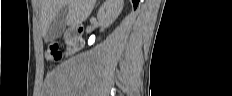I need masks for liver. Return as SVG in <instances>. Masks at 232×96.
<instances>
[{
    "label": "liver",
    "mask_w": 232,
    "mask_h": 96,
    "mask_svg": "<svg viewBox=\"0 0 232 96\" xmlns=\"http://www.w3.org/2000/svg\"><path fill=\"white\" fill-rule=\"evenodd\" d=\"M96 0H41V29L46 35L50 24L59 10L67 6L66 25L77 26L91 14Z\"/></svg>",
    "instance_id": "1"
}]
</instances>
